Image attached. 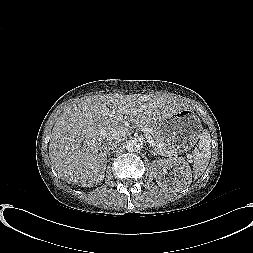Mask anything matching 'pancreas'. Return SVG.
<instances>
[{"label":"pancreas","mask_w":253,"mask_h":253,"mask_svg":"<svg viewBox=\"0 0 253 253\" xmlns=\"http://www.w3.org/2000/svg\"><path fill=\"white\" fill-rule=\"evenodd\" d=\"M139 127H145L150 130V134L152 135L153 140L156 143L155 151L163 156H172L175 153V150L168 146L160 134V132L154 127V125H142L139 124ZM159 145H161L159 147Z\"/></svg>","instance_id":"cf45deb5"}]
</instances>
